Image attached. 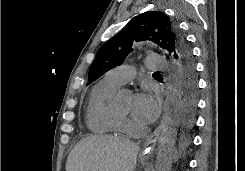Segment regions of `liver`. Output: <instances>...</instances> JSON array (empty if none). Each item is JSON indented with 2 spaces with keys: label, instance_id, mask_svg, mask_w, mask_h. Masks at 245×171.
Here are the masks:
<instances>
[{
  "label": "liver",
  "instance_id": "1",
  "mask_svg": "<svg viewBox=\"0 0 245 171\" xmlns=\"http://www.w3.org/2000/svg\"><path fill=\"white\" fill-rule=\"evenodd\" d=\"M139 146L115 136L82 139L67 158L66 171H134Z\"/></svg>",
  "mask_w": 245,
  "mask_h": 171
}]
</instances>
